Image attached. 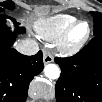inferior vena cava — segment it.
I'll return each instance as SVG.
<instances>
[{"mask_svg":"<svg viewBox=\"0 0 102 102\" xmlns=\"http://www.w3.org/2000/svg\"><path fill=\"white\" fill-rule=\"evenodd\" d=\"M16 50L24 55H35L39 51L38 43L34 39H24L16 45Z\"/></svg>","mask_w":102,"mask_h":102,"instance_id":"602c4592","label":"inferior vena cava"}]
</instances>
